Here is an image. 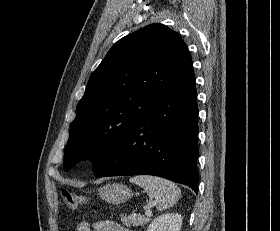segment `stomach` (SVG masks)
I'll use <instances>...</instances> for the list:
<instances>
[{"instance_id":"1","label":"stomach","mask_w":280,"mask_h":231,"mask_svg":"<svg viewBox=\"0 0 280 231\" xmlns=\"http://www.w3.org/2000/svg\"><path fill=\"white\" fill-rule=\"evenodd\" d=\"M98 195L108 203H123L132 197L133 193L132 189L122 183H107V185L99 187Z\"/></svg>"}]
</instances>
